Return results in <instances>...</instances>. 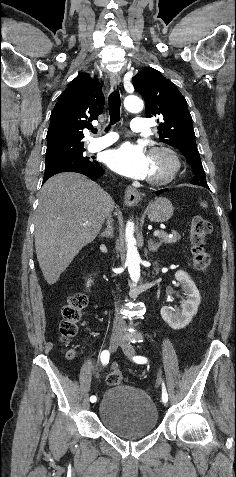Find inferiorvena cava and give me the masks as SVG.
Returning <instances> with one entry per match:
<instances>
[{
    "instance_id": "inferior-vena-cava-1",
    "label": "inferior vena cava",
    "mask_w": 236,
    "mask_h": 477,
    "mask_svg": "<svg viewBox=\"0 0 236 477\" xmlns=\"http://www.w3.org/2000/svg\"><path fill=\"white\" fill-rule=\"evenodd\" d=\"M115 324L116 325H125V321L117 315L116 319H115Z\"/></svg>"
}]
</instances>
